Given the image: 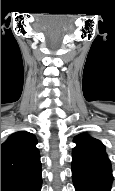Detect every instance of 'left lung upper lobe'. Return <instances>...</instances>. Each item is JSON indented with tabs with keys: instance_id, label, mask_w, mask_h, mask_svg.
I'll return each instance as SVG.
<instances>
[{
	"instance_id": "obj_1",
	"label": "left lung upper lobe",
	"mask_w": 115,
	"mask_h": 191,
	"mask_svg": "<svg viewBox=\"0 0 115 191\" xmlns=\"http://www.w3.org/2000/svg\"><path fill=\"white\" fill-rule=\"evenodd\" d=\"M77 146L73 149V162L92 164L112 171L110 160L105 152V146L87 134H79L74 138Z\"/></svg>"
}]
</instances>
